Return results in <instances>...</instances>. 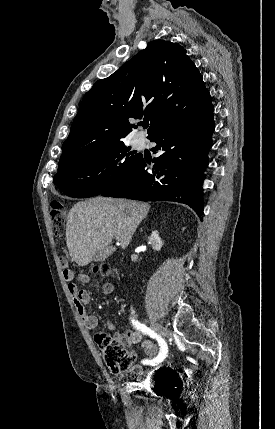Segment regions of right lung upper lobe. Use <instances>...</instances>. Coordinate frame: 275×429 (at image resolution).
Instances as JSON below:
<instances>
[{"label":"right lung upper lobe","mask_w":275,"mask_h":429,"mask_svg":"<svg viewBox=\"0 0 275 429\" xmlns=\"http://www.w3.org/2000/svg\"><path fill=\"white\" fill-rule=\"evenodd\" d=\"M212 108L209 91L186 50L177 43L154 40L85 94L63 143L59 167L123 141L137 127L129 123L131 118L150 119V138Z\"/></svg>","instance_id":"1"}]
</instances>
